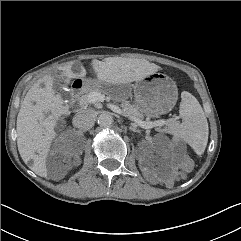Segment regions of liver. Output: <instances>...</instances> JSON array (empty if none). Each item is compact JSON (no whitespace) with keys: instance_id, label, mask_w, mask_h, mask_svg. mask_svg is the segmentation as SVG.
Segmentation results:
<instances>
[{"instance_id":"1","label":"liver","mask_w":241,"mask_h":241,"mask_svg":"<svg viewBox=\"0 0 241 241\" xmlns=\"http://www.w3.org/2000/svg\"><path fill=\"white\" fill-rule=\"evenodd\" d=\"M73 62L62 67L65 82L85 76L72 71ZM93 68L97 79L112 84H128L140 81L158 71V66L148 61L109 57L102 61L95 60ZM42 87L35 83L27 92L16 122L17 146L22 160L41 177L47 176L46 156L52 139L55 137V117L63 111V99L53 89V79L46 78ZM51 112L52 116H45Z\"/></svg>"}]
</instances>
